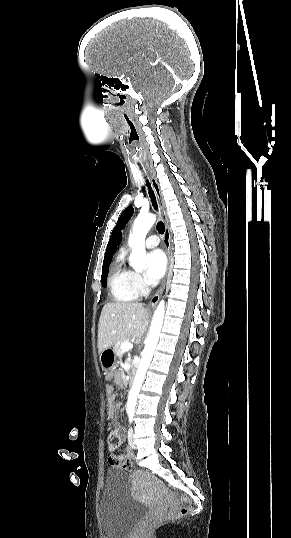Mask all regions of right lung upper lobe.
<instances>
[{
    "label": "right lung upper lobe",
    "instance_id": "cb5924a9",
    "mask_svg": "<svg viewBox=\"0 0 291 538\" xmlns=\"http://www.w3.org/2000/svg\"><path fill=\"white\" fill-rule=\"evenodd\" d=\"M122 240L121 233H118L116 228L113 229L107 248L105 252L104 262L112 259L113 254L116 252V250L119 247V244Z\"/></svg>",
    "mask_w": 291,
    "mask_h": 538
}]
</instances>
